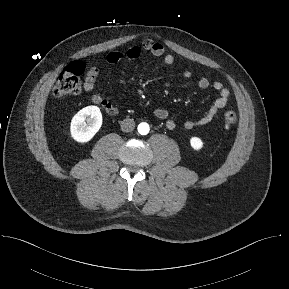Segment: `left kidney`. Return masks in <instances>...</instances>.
I'll return each instance as SVG.
<instances>
[{
    "label": "left kidney",
    "mask_w": 289,
    "mask_h": 289,
    "mask_svg": "<svg viewBox=\"0 0 289 289\" xmlns=\"http://www.w3.org/2000/svg\"><path fill=\"white\" fill-rule=\"evenodd\" d=\"M190 144L194 150H200L203 147V141L198 137H192L190 139Z\"/></svg>",
    "instance_id": "obj_1"
}]
</instances>
